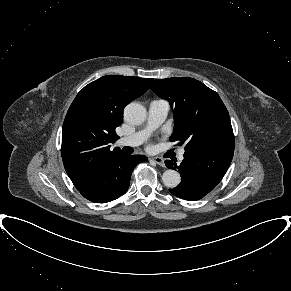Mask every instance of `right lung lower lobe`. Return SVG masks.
Returning <instances> with one entry per match:
<instances>
[{
    "mask_svg": "<svg viewBox=\"0 0 291 291\" xmlns=\"http://www.w3.org/2000/svg\"><path fill=\"white\" fill-rule=\"evenodd\" d=\"M144 155H128L123 152L106 159L77 190L88 200L107 203L125 194L129 188L136 164L146 162Z\"/></svg>",
    "mask_w": 291,
    "mask_h": 291,
    "instance_id": "right-lung-lower-lobe-1",
    "label": "right lung lower lobe"
}]
</instances>
